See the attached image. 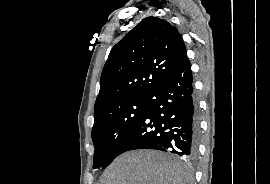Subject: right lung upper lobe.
<instances>
[{
  "label": "right lung upper lobe",
  "mask_w": 270,
  "mask_h": 184,
  "mask_svg": "<svg viewBox=\"0 0 270 184\" xmlns=\"http://www.w3.org/2000/svg\"><path fill=\"white\" fill-rule=\"evenodd\" d=\"M187 58L182 36L166 20L147 17L111 50L103 68L95 121L109 109L147 96Z\"/></svg>",
  "instance_id": "cb5924a9"
}]
</instances>
